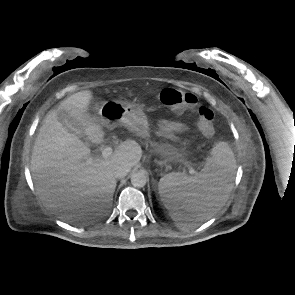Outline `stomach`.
Returning a JSON list of instances; mask_svg holds the SVG:
<instances>
[{
    "instance_id": "stomach-1",
    "label": "stomach",
    "mask_w": 295,
    "mask_h": 295,
    "mask_svg": "<svg viewBox=\"0 0 295 295\" xmlns=\"http://www.w3.org/2000/svg\"><path fill=\"white\" fill-rule=\"evenodd\" d=\"M96 121L109 128L125 126L139 137L145 139L150 137V124L143 108L128 102L116 100L104 102ZM160 153L166 161H177L181 157L179 150L169 145L162 146Z\"/></svg>"
}]
</instances>
